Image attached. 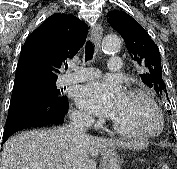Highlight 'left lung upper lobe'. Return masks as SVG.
I'll list each match as a JSON object with an SVG mask.
<instances>
[{
  "label": "left lung upper lobe",
  "instance_id": "1",
  "mask_svg": "<svg viewBox=\"0 0 177 169\" xmlns=\"http://www.w3.org/2000/svg\"><path fill=\"white\" fill-rule=\"evenodd\" d=\"M107 21L116 29L126 43L131 58L140 67L144 84L152 88L162 101H169L163 80L158 46L145 29L124 11H110Z\"/></svg>",
  "mask_w": 177,
  "mask_h": 169
}]
</instances>
